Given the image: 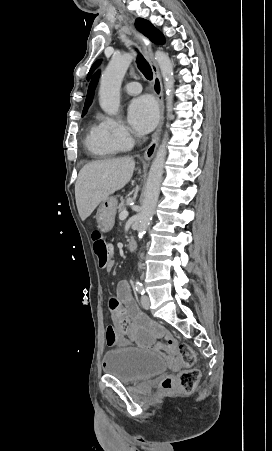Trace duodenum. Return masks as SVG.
Instances as JSON below:
<instances>
[{
	"label": "duodenum",
	"mask_w": 272,
	"mask_h": 451,
	"mask_svg": "<svg viewBox=\"0 0 272 451\" xmlns=\"http://www.w3.org/2000/svg\"><path fill=\"white\" fill-rule=\"evenodd\" d=\"M128 249H129L130 251L136 249V242H135L133 239L129 241V243H128Z\"/></svg>",
	"instance_id": "410a0bca"
}]
</instances>
